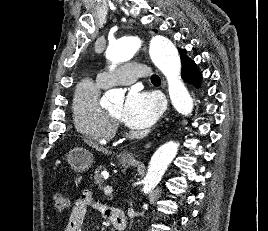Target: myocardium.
<instances>
[{"instance_id": "1", "label": "myocardium", "mask_w": 268, "mask_h": 231, "mask_svg": "<svg viewBox=\"0 0 268 231\" xmlns=\"http://www.w3.org/2000/svg\"><path fill=\"white\" fill-rule=\"evenodd\" d=\"M107 114L115 126L121 125V120L119 117L114 116L109 111H107Z\"/></svg>"}]
</instances>
